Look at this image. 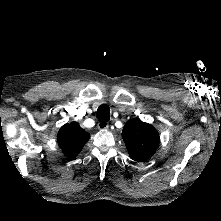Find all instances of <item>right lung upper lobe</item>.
Listing matches in <instances>:
<instances>
[{
	"mask_svg": "<svg viewBox=\"0 0 221 221\" xmlns=\"http://www.w3.org/2000/svg\"><path fill=\"white\" fill-rule=\"evenodd\" d=\"M90 135L82 129L77 122L65 124L58 132V145L67 158L76 157Z\"/></svg>",
	"mask_w": 221,
	"mask_h": 221,
	"instance_id": "right-lung-upper-lobe-1",
	"label": "right lung upper lobe"
}]
</instances>
